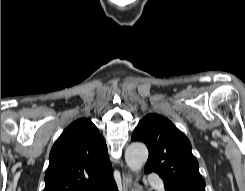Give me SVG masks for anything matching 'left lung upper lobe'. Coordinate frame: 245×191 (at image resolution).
Masks as SVG:
<instances>
[{"label":"left lung upper lobe","instance_id":"1","mask_svg":"<svg viewBox=\"0 0 245 191\" xmlns=\"http://www.w3.org/2000/svg\"><path fill=\"white\" fill-rule=\"evenodd\" d=\"M131 140L146 144L149 157L144 171L158 173L166 190L205 191V181L191 152L189 139L166 117L147 114L137 125Z\"/></svg>","mask_w":245,"mask_h":191}]
</instances>
